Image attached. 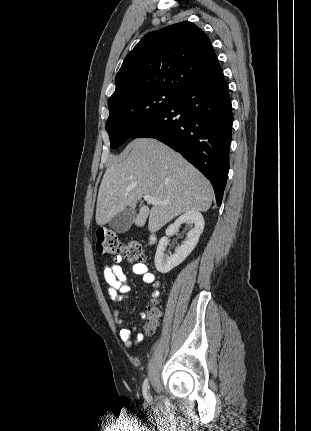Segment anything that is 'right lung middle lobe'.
<instances>
[{"label":"right lung middle lobe","mask_w":311,"mask_h":431,"mask_svg":"<svg viewBox=\"0 0 311 431\" xmlns=\"http://www.w3.org/2000/svg\"><path fill=\"white\" fill-rule=\"evenodd\" d=\"M179 94L160 90H143L109 99L106 130L111 147L118 148L143 125L169 107Z\"/></svg>","instance_id":"dd1d6c3e"}]
</instances>
